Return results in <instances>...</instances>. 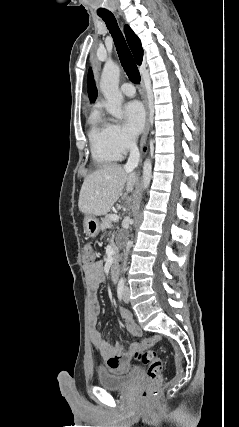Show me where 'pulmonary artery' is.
Masks as SVG:
<instances>
[{"label":"pulmonary artery","mask_w":239,"mask_h":427,"mask_svg":"<svg viewBox=\"0 0 239 427\" xmlns=\"http://www.w3.org/2000/svg\"><path fill=\"white\" fill-rule=\"evenodd\" d=\"M121 92L128 97H133L135 95V88L131 83H124L121 85Z\"/></svg>","instance_id":"obj_1"}]
</instances>
